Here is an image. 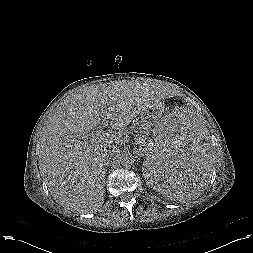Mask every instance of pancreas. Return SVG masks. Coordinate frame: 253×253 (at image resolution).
I'll list each match as a JSON object with an SVG mask.
<instances>
[{
  "label": "pancreas",
  "instance_id": "obj_1",
  "mask_svg": "<svg viewBox=\"0 0 253 253\" xmlns=\"http://www.w3.org/2000/svg\"><path fill=\"white\" fill-rule=\"evenodd\" d=\"M133 129L139 135L138 141L139 143H141L142 146H144L143 151L146 153V155H149L150 149L147 146V142H146L149 129H150L149 125L144 122H140V123L135 124L133 126Z\"/></svg>",
  "mask_w": 253,
  "mask_h": 253
}]
</instances>
